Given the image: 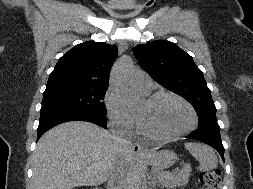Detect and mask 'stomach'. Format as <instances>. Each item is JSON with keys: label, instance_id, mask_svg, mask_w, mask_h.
I'll use <instances>...</instances> for the list:
<instances>
[{"label": "stomach", "instance_id": "0dacf381", "mask_svg": "<svg viewBox=\"0 0 253 189\" xmlns=\"http://www.w3.org/2000/svg\"><path fill=\"white\" fill-rule=\"evenodd\" d=\"M177 160V155L171 150H161L151 153L147 162L156 170L161 171L172 166Z\"/></svg>", "mask_w": 253, "mask_h": 189}]
</instances>
